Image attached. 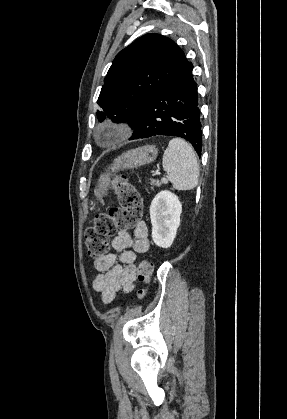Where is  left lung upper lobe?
Instances as JSON below:
<instances>
[{
    "label": "left lung upper lobe",
    "mask_w": 287,
    "mask_h": 419,
    "mask_svg": "<svg viewBox=\"0 0 287 419\" xmlns=\"http://www.w3.org/2000/svg\"><path fill=\"white\" fill-rule=\"evenodd\" d=\"M190 65L171 39L159 34L140 37L116 55L97 101L98 120L128 121L134 129L148 100Z\"/></svg>",
    "instance_id": "left-lung-upper-lobe-1"
}]
</instances>
